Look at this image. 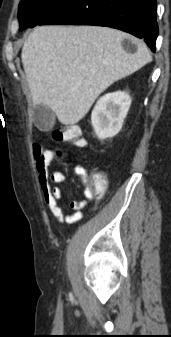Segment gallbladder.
Listing matches in <instances>:
<instances>
[{
    "label": "gallbladder",
    "mask_w": 171,
    "mask_h": 337,
    "mask_svg": "<svg viewBox=\"0 0 171 337\" xmlns=\"http://www.w3.org/2000/svg\"><path fill=\"white\" fill-rule=\"evenodd\" d=\"M55 122L53 111L46 105L40 104L35 107L34 123L40 130H49Z\"/></svg>",
    "instance_id": "1"
}]
</instances>
